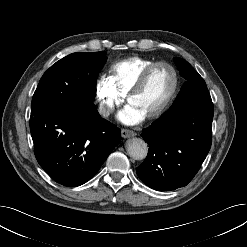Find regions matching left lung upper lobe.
<instances>
[{
  "mask_svg": "<svg viewBox=\"0 0 247 247\" xmlns=\"http://www.w3.org/2000/svg\"><path fill=\"white\" fill-rule=\"evenodd\" d=\"M174 61L180 71V74L186 79V82L182 86L177 98L169 109H173L182 104L202 88H207L205 81L201 79V76L187 61L177 57L174 58Z\"/></svg>",
  "mask_w": 247,
  "mask_h": 247,
  "instance_id": "1",
  "label": "left lung upper lobe"
}]
</instances>
